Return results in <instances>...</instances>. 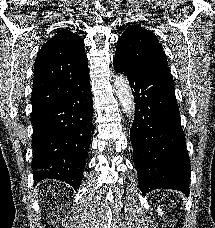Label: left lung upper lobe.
I'll return each instance as SVG.
<instances>
[{"instance_id": "obj_1", "label": "left lung upper lobe", "mask_w": 215, "mask_h": 228, "mask_svg": "<svg viewBox=\"0 0 215 228\" xmlns=\"http://www.w3.org/2000/svg\"><path fill=\"white\" fill-rule=\"evenodd\" d=\"M115 58L139 70L169 69L157 37L137 25L128 26L118 39Z\"/></svg>"}]
</instances>
